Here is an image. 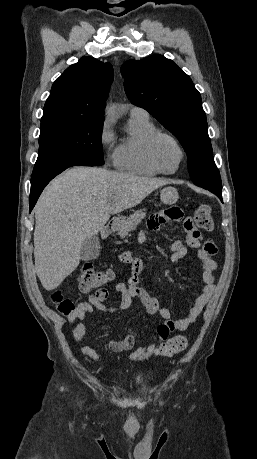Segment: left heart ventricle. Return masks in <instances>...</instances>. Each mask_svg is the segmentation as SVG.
Listing matches in <instances>:
<instances>
[{
  "instance_id": "left-heart-ventricle-1",
  "label": "left heart ventricle",
  "mask_w": 257,
  "mask_h": 459,
  "mask_svg": "<svg viewBox=\"0 0 257 459\" xmlns=\"http://www.w3.org/2000/svg\"><path fill=\"white\" fill-rule=\"evenodd\" d=\"M155 157L164 170L172 171L179 163L180 152L171 140L161 138L155 146Z\"/></svg>"
}]
</instances>
